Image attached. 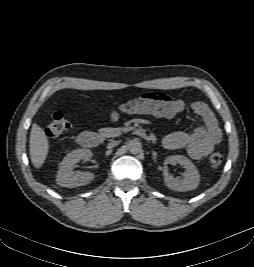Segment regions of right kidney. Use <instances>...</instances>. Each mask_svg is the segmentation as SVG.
<instances>
[{
    "mask_svg": "<svg viewBox=\"0 0 254 267\" xmlns=\"http://www.w3.org/2000/svg\"><path fill=\"white\" fill-rule=\"evenodd\" d=\"M89 149H76L68 153L61 161L56 175V183L62 187L74 188L89 184L95 177L91 172L75 174L73 169L80 160L88 161L92 157Z\"/></svg>",
    "mask_w": 254,
    "mask_h": 267,
    "instance_id": "right-kidney-1",
    "label": "right kidney"
}]
</instances>
